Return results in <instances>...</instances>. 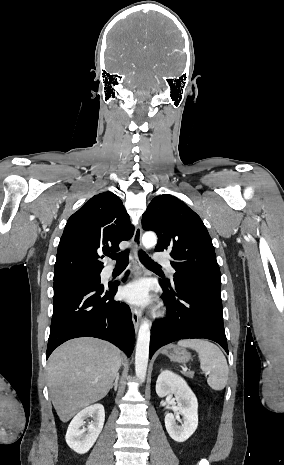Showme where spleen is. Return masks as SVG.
<instances>
[{"label":"spleen","mask_w":284,"mask_h":465,"mask_svg":"<svg viewBox=\"0 0 284 465\" xmlns=\"http://www.w3.org/2000/svg\"><path fill=\"white\" fill-rule=\"evenodd\" d=\"M180 347H189L198 353L200 359V369L204 373H209L207 383L214 391H222L228 381L227 361L219 347L209 343L207 339H187L179 341Z\"/></svg>","instance_id":"1"}]
</instances>
